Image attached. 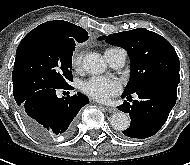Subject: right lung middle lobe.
I'll list each match as a JSON object with an SVG mask.
<instances>
[{"label": "right lung middle lobe", "mask_w": 190, "mask_h": 165, "mask_svg": "<svg viewBox=\"0 0 190 165\" xmlns=\"http://www.w3.org/2000/svg\"><path fill=\"white\" fill-rule=\"evenodd\" d=\"M88 39L73 37L59 29L40 27L20 42L13 70V92L20 105L29 95L45 88H63L72 81V54L77 43Z\"/></svg>", "instance_id": "right-lung-middle-lobe-1"}]
</instances>
